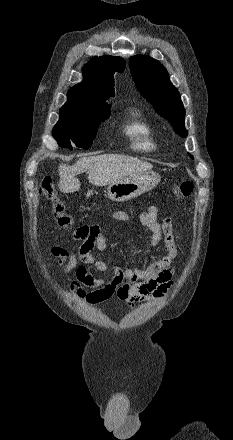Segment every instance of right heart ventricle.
<instances>
[{"label":"right heart ventricle","instance_id":"1","mask_svg":"<svg viewBox=\"0 0 233 440\" xmlns=\"http://www.w3.org/2000/svg\"><path fill=\"white\" fill-rule=\"evenodd\" d=\"M122 132L129 139L132 149L138 153H151L158 148L153 125L138 110L130 112L122 125Z\"/></svg>","mask_w":233,"mask_h":440}]
</instances>
